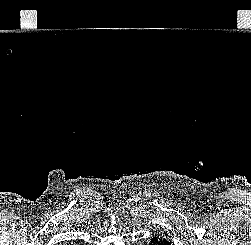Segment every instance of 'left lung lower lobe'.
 Masks as SVG:
<instances>
[{"label": "left lung lower lobe", "instance_id": "obj_1", "mask_svg": "<svg viewBox=\"0 0 251 245\" xmlns=\"http://www.w3.org/2000/svg\"><path fill=\"white\" fill-rule=\"evenodd\" d=\"M151 240V245H171L167 238H165L162 234L155 235Z\"/></svg>", "mask_w": 251, "mask_h": 245}]
</instances>
